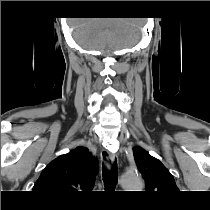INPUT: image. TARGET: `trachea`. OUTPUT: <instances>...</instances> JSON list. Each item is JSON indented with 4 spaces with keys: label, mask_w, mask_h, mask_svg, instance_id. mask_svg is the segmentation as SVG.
<instances>
[{
    "label": "trachea",
    "mask_w": 210,
    "mask_h": 210,
    "mask_svg": "<svg viewBox=\"0 0 210 210\" xmlns=\"http://www.w3.org/2000/svg\"><path fill=\"white\" fill-rule=\"evenodd\" d=\"M102 176L104 186L107 187H115L118 181V173H117V161L115 160L114 164L110 169L102 168Z\"/></svg>",
    "instance_id": "trachea-1"
}]
</instances>
